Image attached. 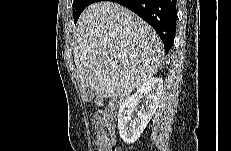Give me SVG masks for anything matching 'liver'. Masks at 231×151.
Returning a JSON list of instances; mask_svg holds the SVG:
<instances>
[{"instance_id": "obj_1", "label": "liver", "mask_w": 231, "mask_h": 151, "mask_svg": "<svg viewBox=\"0 0 231 151\" xmlns=\"http://www.w3.org/2000/svg\"><path fill=\"white\" fill-rule=\"evenodd\" d=\"M74 37L79 81L98 98L128 95L163 63V44L154 29L112 1L90 4L79 17Z\"/></svg>"}]
</instances>
